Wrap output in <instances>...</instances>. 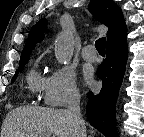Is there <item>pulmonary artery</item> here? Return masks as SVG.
<instances>
[{
	"label": "pulmonary artery",
	"mask_w": 144,
	"mask_h": 137,
	"mask_svg": "<svg viewBox=\"0 0 144 137\" xmlns=\"http://www.w3.org/2000/svg\"><path fill=\"white\" fill-rule=\"evenodd\" d=\"M82 57L86 61L94 62L97 60V53L93 45H86L82 49Z\"/></svg>",
	"instance_id": "pulmonary-artery-1"
}]
</instances>
